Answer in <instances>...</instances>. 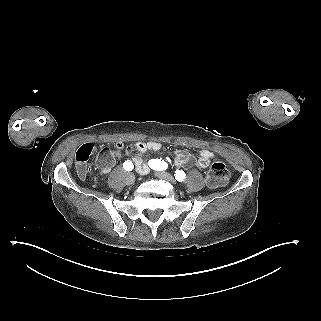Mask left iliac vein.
I'll return each instance as SVG.
<instances>
[{
	"label": "left iliac vein",
	"mask_w": 321,
	"mask_h": 321,
	"mask_svg": "<svg viewBox=\"0 0 321 321\" xmlns=\"http://www.w3.org/2000/svg\"><path fill=\"white\" fill-rule=\"evenodd\" d=\"M156 176L160 179H164V180H167L169 181L170 183L172 184H176V180L174 179V177L169 174L168 172H164V171H157L156 173Z\"/></svg>",
	"instance_id": "left-iliac-vein-1"
}]
</instances>
